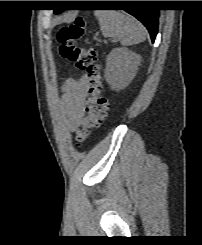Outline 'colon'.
Returning <instances> with one entry per match:
<instances>
[{
  "instance_id": "1",
  "label": "colon",
  "mask_w": 202,
  "mask_h": 245,
  "mask_svg": "<svg viewBox=\"0 0 202 245\" xmlns=\"http://www.w3.org/2000/svg\"><path fill=\"white\" fill-rule=\"evenodd\" d=\"M86 23L76 17L68 26L63 27L57 36L60 53L79 69L86 71L90 78L87 102L77 128V147H80L107 117L108 99L104 93L102 66L98 53L93 47H80L77 41L85 34Z\"/></svg>"
}]
</instances>
